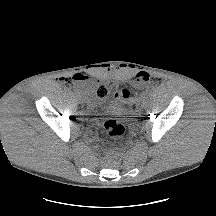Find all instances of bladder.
I'll use <instances>...</instances> for the list:
<instances>
[{"label":"bladder","instance_id":"1","mask_svg":"<svg viewBox=\"0 0 216 216\" xmlns=\"http://www.w3.org/2000/svg\"><path fill=\"white\" fill-rule=\"evenodd\" d=\"M88 95V94H86ZM88 104L90 107H93V102L88 100ZM108 110L111 111L112 113L115 114H120L123 113L125 111V107H124V103L123 101L119 98V99H114L113 101H111L108 105Z\"/></svg>","mask_w":216,"mask_h":216}]
</instances>
